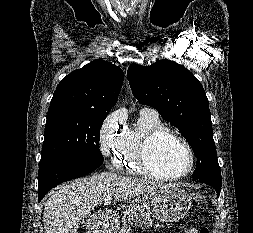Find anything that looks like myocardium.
Returning a JSON list of instances; mask_svg holds the SVG:
<instances>
[{"label":"myocardium","mask_w":253,"mask_h":233,"mask_svg":"<svg viewBox=\"0 0 253 233\" xmlns=\"http://www.w3.org/2000/svg\"><path fill=\"white\" fill-rule=\"evenodd\" d=\"M164 136H170L176 139L187 149L189 154V165L185 172L178 175H160L153 171V169L150 167V150L155 142ZM138 163L143 172L149 177L162 181H175L187 177L192 172L195 165V152L189 141L180 133L168 127H161L147 134L142 140L138 153Z\"/></svg>","instance_id":"obj_1"}]
</instances>
